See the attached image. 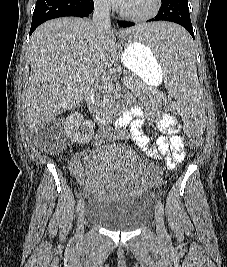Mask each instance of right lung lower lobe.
<instances>
[{"label":"right lung lower lobe","instance_id":"obj_1","mask_svg":"<svg viewBox=\"0 0 227 267\" xmlns=\"http://www.w3.org/2000/svg\"><path fill=\"white\" fill-rule=\"evenodd\" d=\"M93 9V0H37L30 34L47 20L64 16L87 17Z\"/></svg>","mask_w":227,"mask_h":267}]
</instances>
